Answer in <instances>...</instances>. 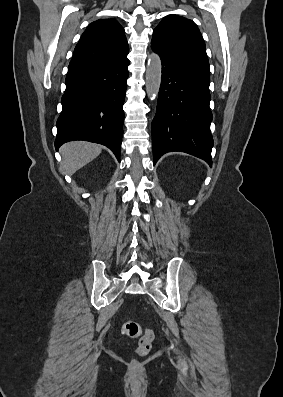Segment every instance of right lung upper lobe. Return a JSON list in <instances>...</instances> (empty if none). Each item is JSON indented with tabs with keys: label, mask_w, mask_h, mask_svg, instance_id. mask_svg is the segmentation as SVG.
Listing matches in <instances>:
<instances>
[{
	"label": "right lung upper lobe",
	"mask_w": 283,
	"mask_h": 397,
	"mask_svg": "<svg viewBox=\"0 0 283 397\" xmlns=\"http://www.w3.org/2000/svg\"><path fill=\"white\" fill-rule=\"evenodd\" d=\"M128 53L124 29L115 19L94 21L75 47L67 76L125 62Z\"/></svg>",
	"instance_id": "obj_1"
}]
</instances>
